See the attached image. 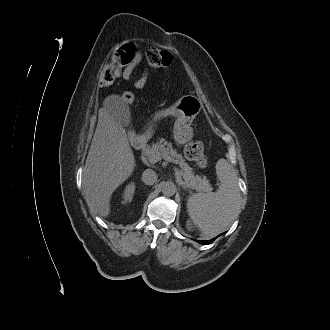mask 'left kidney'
<instances>
[{"mask_svg": "<svg viewBox=\"0 0 330 330\" xmlns=\"http://www.w3.org/2000/svg\"><path fill=\"white\" fill-rule=\"evenodd\" d=\"M186 225H187V229H188V230H191V229H192V226H191V224H190L189 221H187V224H186Z\"/></svg>", "mask_w": 330, "mask_h": 330, "instance_id": "5707ae66", "label": "left kidney"}]
</instances>
